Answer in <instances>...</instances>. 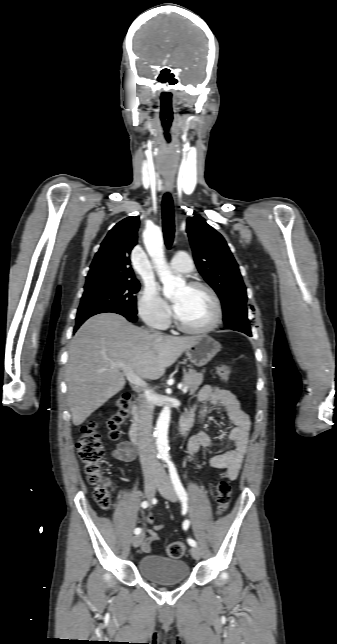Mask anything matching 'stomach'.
<instances>
[{
    "instance_id": "1",
    "label": "stomach",
    "mask_w": 337,
    "mask_h": 644,
    "mask_svg": "<svg viewBox=\"0 0 337 644\" xmlns=\"http://www.w3.org/2000/svg\"><path fill=\"white\" fill-rule=\"evenodd\" d=\"M221 350L219 342L207 335L198 336L196 343L185 353L195 366H204Z\"/></svg>"
}]
</instances>
